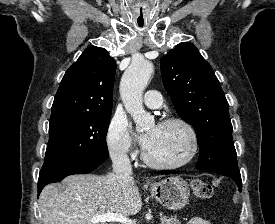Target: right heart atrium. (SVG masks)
I'll return each mask as SVG.
<instances>
[{
    "label": "right heart atrium",
    "mask_w": 275,
    "mask_h": 224,
    "mask_svg": "<svg viewBox=\"0 0 275 224\" xmlns=\"http://www.w3.org/2000/svg\"><path fill=\"white\" fill-rule=\"evenodd\" d=\"M106 143L110 154L115 158L132 159L137 153L128 122L119 115H115L109 124Z\"/></svg>",
    "instance_id": "d8ad5b80"
}]
</instances>
